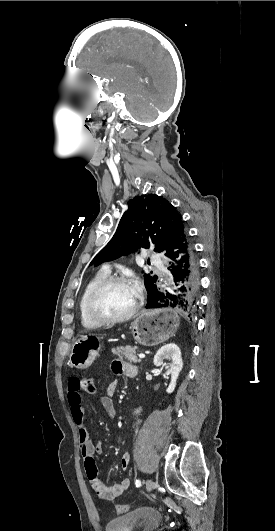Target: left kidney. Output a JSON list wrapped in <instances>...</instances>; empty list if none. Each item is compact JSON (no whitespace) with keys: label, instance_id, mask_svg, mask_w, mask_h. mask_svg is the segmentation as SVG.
Listing matches in <instances>:
<instances>
[{"label":"left kidney","instance_id":"left-kidney-1","mask_svg":"<svg viewBox=\"0 0 275 531\" xmlns=\"http://www.w3.org/2000/svg\"><path fill=\"white\" fill-rule=\"evenodd\" d=\"M163 359H169V361H171L169 367H166L168 373H171V381L168 389H166V393H173L179 373L183 369V361L181 359V351L179 347H177L175 343H170V345H164V347H161L154 357L153 363L155 367H161V365H164Z\"/></svg>","mask_w":275,"mask_h":531}]
</instances>
